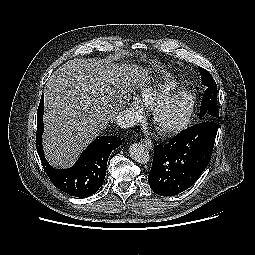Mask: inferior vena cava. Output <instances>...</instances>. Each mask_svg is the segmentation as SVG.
<instances>
[{
  "label": "inferior vena cava",
  "instance_id": "inferior-vena-cava-1",
  "mask_svg": "<svg viewBox=\"0 0 255 255\" xmlns=\"http://www.w3.org/2000/svg\"><path fill=\"white\" fill-rule=\"evenodd\" d=\"M115 121L121 128H129L135 125V120L129 111H122L116 117Z\"/></svg>",
  "mask_w": 255,
  "mask_h": 255
}]
</instances>
